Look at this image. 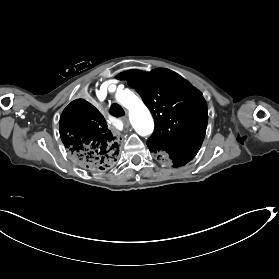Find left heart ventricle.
<instances>
[{"mask_svg": "<svg viewBox=\"0 0 279 279\" xmlns=\"http://www.w3.org/2000/svg\"><path fill=\"white\" fill-rule=\"evenodd\" d=\"M86 79H91V78L88 76V77H86Z\"/></svg>", "mask_w": 279, "mask_h": 279, "instance_id": "obj_1", "label": "left heart ventricle"}]
</instances>
